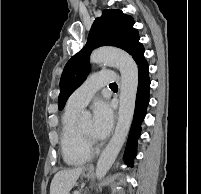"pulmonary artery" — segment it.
<instances>
[{
  "instance_id": "e3ab8cb5",
  "label": "pulmonary artery",
  "mask_w": 201,
  "mask_h": 194,
  "mask_svg": "<svg viewBox=\"0 0 201 194\" xmlns=\"http://www.w3.org/2000/svg\"><path fill=\"white\" fill-rule=\"evenodd\" d=\"M117 76L112 71H101L90 75L83 84L76 89L67 101L70 107L82 109L102 86L116 81Z\"/></svg>"
}]
</instances>
